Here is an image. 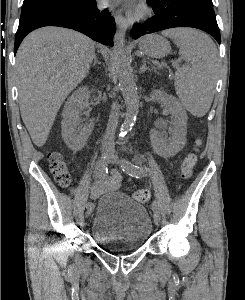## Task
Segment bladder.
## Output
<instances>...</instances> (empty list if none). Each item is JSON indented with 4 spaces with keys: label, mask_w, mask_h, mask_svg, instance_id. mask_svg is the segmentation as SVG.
Wrapping results in <instances>:
<instances>
[{
    "label": "bladder",
    "mask_w": 245,
    "mask_h": 300,
    "mask_svg": "<svg viewBox=\"0 0 245 300\" xmlns=\"http://www.w3.org/2000/svg\"><path fill=\"white\" fill-rule=\"evenodd\" d=\"M152 228L144 206L122 192L111 191L98 202L90 235L97 244L112 251L129 252L147 242Z\"/></svg>",
    "instance_id": "1"
}]
</instances>
